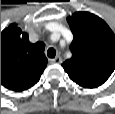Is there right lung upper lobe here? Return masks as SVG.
<instances>
[{"label": "right lung upper lobe", "mask_w": 115, "mask_h": 114, "mask_svg": "<svg viewBox=\"0 0 115 114\" xmlns=\"http://www.w3.org/2000/svg\"><path fill=\"white\" fill-rule=\"evenodd\" d=\"M43 42L30 43L16 24L1 32V84L14 91L34 86L47 66Z\"/></svg>", "instance_id": "cb5924a9"}]
</instances>
